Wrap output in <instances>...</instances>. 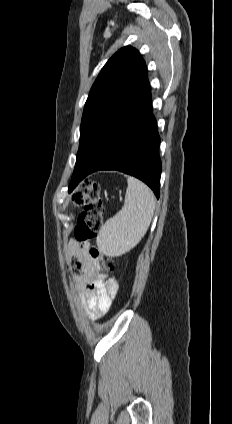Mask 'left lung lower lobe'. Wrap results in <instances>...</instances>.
<instances>
[{
	"mask_svg": "<svg viewBox=\"0 0 232 424\" xmlns=\"http://www.w3.org/2000/svg\"><path fill=\"white\" fill-rule=\"evenodd\" d=\"M159 144L149 82L146 80L96 139L85 167L80 174L72 176L69 192L92 172L118 170L145 182L159 198Z\"/></svg>",
	"mask_w": 232,
	"mask_h": 424,
	"instance_id": "1",
	"label": "left lung lower lobe"
}]
</instances>
